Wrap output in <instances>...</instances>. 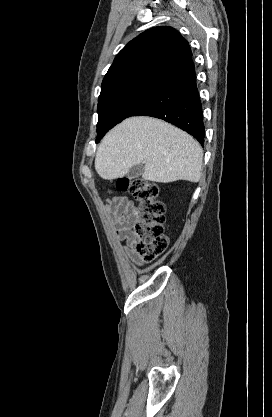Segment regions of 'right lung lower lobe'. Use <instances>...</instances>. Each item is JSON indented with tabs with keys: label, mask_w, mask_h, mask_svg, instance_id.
Instances as JSON below:
<instances>
[{
	"label": "right lung lower lobe",
	"mask_w": 272,
	"mask_h": 417,
	"mask_svg": "<svg viewBox=\"0 0 272 417\" xmlns=\"http://www.w3.org/2000/svg\"><path fill=\"white\" fill-rule=\"evenodd\" d=\"M134 116H152L174 124L204 143L202 107L193 62L171 76Z\"/></svg>",
	"instance_id": "1"
}]
</instances>
